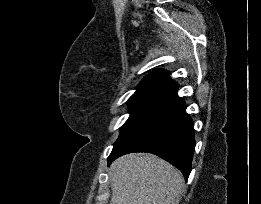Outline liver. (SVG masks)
I'll list each match as a JSON object with an SVG mask.
<instances>
[{
    "instance_id": "1",
    "label": "liver",
    "mask_w": 261,
    "mask_h": 204,
    "mask_svg": "<svg viewBox=\"0 0 261 204\" xmlns=\"http://www.w3.org/2000/svg\"><path fill=\"white\" fill-rule=\"evenodd\" d=\"M110 204H176L184 179L171 164L152 154H128L110 169Z\"/></svg>"
}]
</instances>
